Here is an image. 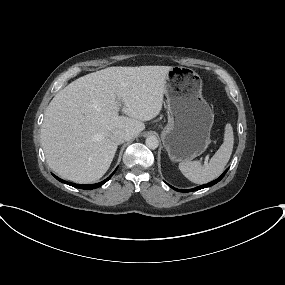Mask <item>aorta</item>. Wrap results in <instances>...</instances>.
Here are the masks:
<instances>
[{"label":"aorta","instance_id":"762f6f07","mask_svg":"<svg viewBox=\"0 0 285 285\" xmlns=\"http://www.w3.org/2000/svg\"><path fill=\"white\" fill-rule=\"evenodd\" d=\"M146 146L150 149H156L159 145V141L155 136H149L146 138Z\"/></svg>","mask_w":285,"mask_h":285}]
</instances>
